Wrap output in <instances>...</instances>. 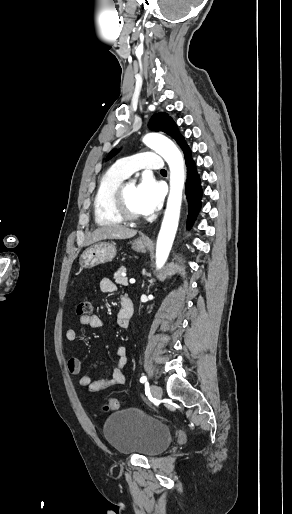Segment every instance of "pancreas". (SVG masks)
I'll use <instances>...</instances> for the list:
<instances>
[{
  "instance_id": "pancreas-1",
  "label": "pancreas",
  "mask_w": 292,
  "mask_h": 514,
  "mask_svg": "<svg viewBox=\"0 0 292 514\" xmlns=\"http://www.w3.org/2000/svg\"><path fill=\"white\" fill-rule=\"evenodd\" d=\"M123 272H126V268L121 266V268L115 272L114 280L116 284H121V286H128V278H124V276H122Z\"/></svg>"
}]
</instances>
